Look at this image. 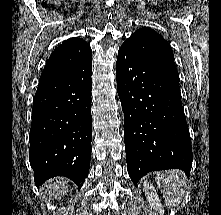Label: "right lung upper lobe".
I'll list each match as a JSON object with an SVG mask.
<instances>
[{"instance_id": "right-lung-upper-lobe-1", "label": "right lung upper lobe", "mask_w": 221, "mask_h": 215, "mask_svg": "<svg viewBox=\"0 0 221 215\" xmlns=\"http://www.w3.org/2000/svg\"><path fill=\"white\" fill-rule=\"evenodd\" d=\"M92 58L90 45L83 39L69 38L59 45L49 57L40 82L65 75Z\"/></svg>"}]
</instances>
